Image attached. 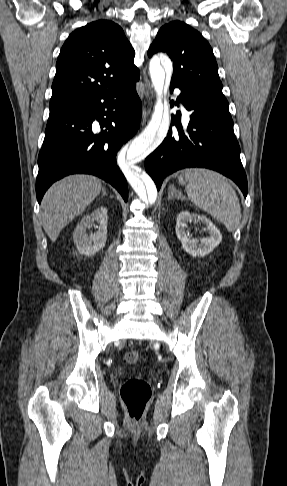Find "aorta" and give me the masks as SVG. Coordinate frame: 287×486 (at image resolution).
<instances>
[{"mask_svg": "<svg viewBox=\"0 0 287 486\" xmlns=\"http://www.w3.org/2000/svg\"><path fill=\"white\" fill-rule=\"evenodd\" d=\"M172 70V62L167 56H153L151 58L149 71L153 87L157 93V101L150 122L142 133L134 139L127 151L129 158L142 155L149 149L155 148L167 135L170 125V114L168 105H163L162 103V92L165 73L169 79ZM121 169L137 195L142 200L149 201L150 204L155 203L157 189L154 182L151 179L143 180L131 163L122 165Z\"/></svg>", "mask_w": 287, "mask_h": 486, "instance_id": "aorta-1", "label": "aorta"}]
</instances>
